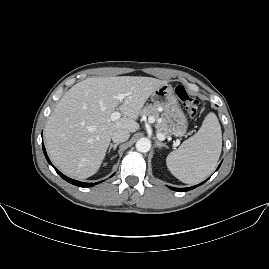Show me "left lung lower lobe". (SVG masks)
Segmentation results:
<instances>
[{
  "label": "left lung lower lobe",
  "mask_w": 269,
  "mask_h": 269,
  "mask_svg": "<svg viewBox=\"0 0 269 269\" xmlns=\"http://www.w3.org/2000/svg\"><path fill=\"white\" fill-rule=\"evenodd\" d=\"M220 167V165L218 166V168ZM217 168V169H218ZM207 181V180H206ZM206 181H204V182H206ZM204 182H202L201 184H203ZM200 184V185H201ZM198 185H196V186H194V187H190V188H174V187H171V189H173V190H175V191H178V192H185V191H188V190H191V189H193V188H195V187H197Z\"/></svg>",
  "instance_id": "0a47b994"
}]
</instances>
